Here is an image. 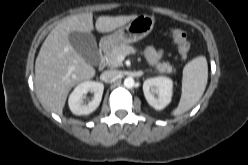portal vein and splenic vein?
I'll return each instance as SVG.
<instances>
[{
    "instance_id": "18ae733b",
    "label": "portal vein and splenic vein",
    "mask_w": 248,
    "mask_h": 165,
    "mask_svg": "<svg viewBox=\"0 0 248 165\" xmlns=\"http://www.w3.org/2000/svg\"><path fill=\"white\" fill-rule=\"evenodd\" d=\"M118 59H119V60H123V59H124V57H123V56H120Z\"/></svg>"
}]
</instances>
